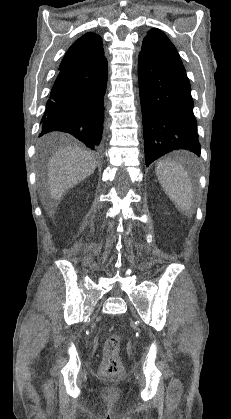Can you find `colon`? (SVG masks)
Here are the masks:
<instances>
[{
	"label": "colon",
	"mask_w": 231,
	"mask_h": 419,
	"mask_svg": "<svg viewBox=\"0 0 231 419\" xmlns=\"http://www.w3.org/2000/svg\"><path fill=\"white\" fill-rule=\"evenodd\" d=\"M121 340L118 335H111L105 341L104 357L100 368V373L104 376L118 375L122 370L119 356Z\"/></svg>",
	"instance_id": "1"
}]
</instances>
